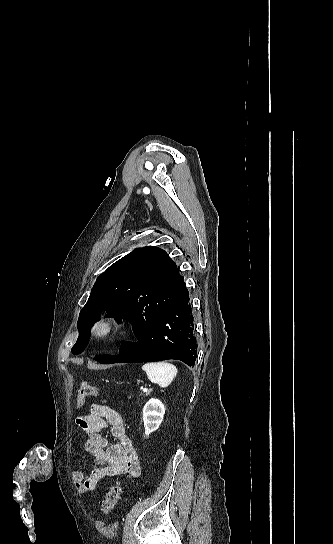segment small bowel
<instances>
[{
    "label": "small bowel",
    "mask_w": 333,
    "mask_h": 544,
    "mask_svg": "<svg viewBox=\"0 0 333 544\" xmlns=\"http://www.w3.org/2000/svg\"><path fill=\"white\" fill-rule=\"evenodd\" d=\"M77 424L87 434L84 449L97 465L89 475L81 470L72 473L73 482L80 493L94 490L105 477L139 476L141 467L138 454L117 411L106 405L92 404L90 414L80 417Z\"/></svg>",
    "instance_id": "obj_1"
}]
</instances>
